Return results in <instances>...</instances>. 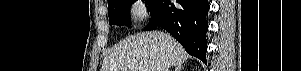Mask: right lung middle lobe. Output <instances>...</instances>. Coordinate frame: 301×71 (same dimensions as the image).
I'll return each mask as SVG.
<instances>
[{
	"instance_id": "obj_1",
	"label": "right lung middle lobe",
	"mask_w": 301,
	"mask_h": 71,
	"mask_svg": "<svg viewBox=\"0 0 301 71\" xmlns=\"http://www.w3.org/2000/svg\"><path fill=\"white\" fill-rule=\"evenodd\" d=\"M136 0H110L108 2L109 24L129 26V9ZM150 9V13L156 3V0H145Z\"/></svg>"
}]
</instances>
